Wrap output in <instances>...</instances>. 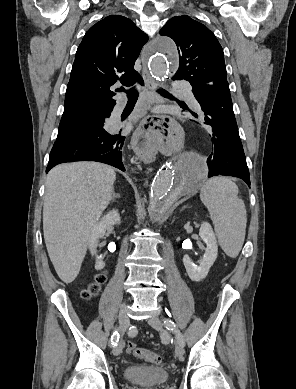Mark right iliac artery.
I'll return each instance as SVG.
<instances>
[{
    "instance_id": "right-iliac-artery-1",
    "label": "right iliac artery",
    "mask_w": 296,
    "mask_h": 389,
    "mask_svg": "<svg viewBox=\"0 0 296 389\" xmlns=\"http://www.w3.org/2000/svg\"><path fill=\"white\" fill-rule=\"evenodd\" d=\"M118 340H119V333H118L117 331H115V332L112 334V337H111V345H112V346H116Z\"/></svg>"
}]
</instances>
